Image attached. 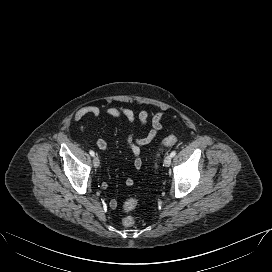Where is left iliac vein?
<instances>
[{"instance_id":"obj_1","label":"left iliac vein","mask_w":272,"mask_h":272,"mask_svg":"<svg viewBox=\"0 0 272 272\" xmlns=\"http://www.w3.org/2000/svg\"><path fill=\"white\" fill-rule=\"evenodd\" d=\"M171 161H172V157L170 155H167L165 158H164V165L166 167H169L170 164H171Z\"/></svg>"}]
</instances>
